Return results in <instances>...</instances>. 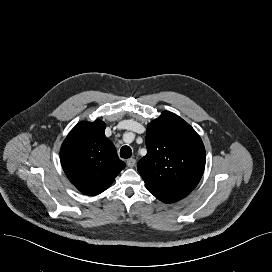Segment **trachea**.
I'll list each match as a JSON object with an SVG mask.
<instances>
[{"instance_id":"1","label":"trachea","mask_w":272,"mask_h":272,"mask_svg":"<svg viewBox=\"0 0 272 272\" xmlns=\"http://www.w3.org/2000/svg\"><path fill=\"white\" fill-rule=\"evenodd\" d=\"M121 158L128 159L132 156V150L129 146H123L120 150Z\"/></svg>"}]
</instances>
